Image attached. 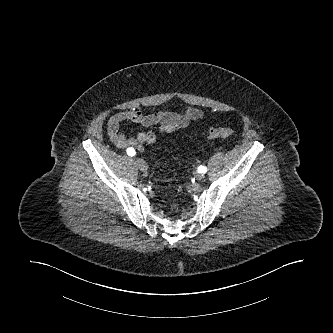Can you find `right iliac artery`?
<instances>
[{
	"label": "right iliac artery",
	"instance_id": "1",
	"mask_svg": "<svg viewBox=\"0 0 333 333\" xmlns=\"http://www.w3.org/2000/svg\"><path fill=\"white\" fill-rule=\"evenodd\" d=\"M126 152L129 156H134L136 154L133 148H127Z\"/></svg>",
	"mask_w": 333,
	"mask_h": 333
}]
</instances>
